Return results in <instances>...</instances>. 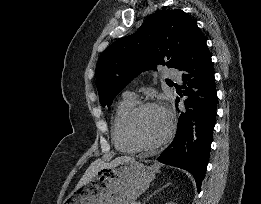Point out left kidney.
Wrapping results in <instances>:
<instances>
[{"instance_id": "obj_1", "label": "left kidney", "mask_w": 261, "mask_h": 204, "mask_svg": "<svg viewBox=\"0 0 261 204\" xmlns=\"http://www.w3.org/2000/svg\"><path fill=\"white\" fill-rule=\"evenodd\" d=\"M166 204H176V203H173V202H168V203H166Z\"/></svg>"}]
</instances>
